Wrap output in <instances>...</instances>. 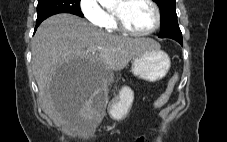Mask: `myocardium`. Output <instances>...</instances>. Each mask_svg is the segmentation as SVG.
<instances>
[{"label":"myocardium","mask_w":227,"mask_h":142,"mask_svg":"<svg viewBox=\"0 0 227 142\" xmlns=\"http://www.w3.org/2000/svg\"><path fill=\"white\" fill-rule=\"evenodd\" d=\"M146 1L152 6L154 13H155V23H154L153 27L147 31H142V32L135 31L126 24L121 11L113 10L112 15H113L115 24L120 31L127 33L129 35H133V36H149V35L155 33L159 29V27L161 25L160 7L154 0H146ZM121 2L123 4H125V3L129 2V0H121Z\"/></svg>","instance_id":"1"}]
</instances>
